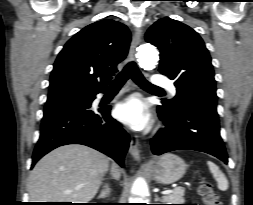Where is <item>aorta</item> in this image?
I'll return each mask as SVG.
<instances>
[{
  "label": "aorta",
  "instance_id": "1",
  "mask_svg": "<svg viewBox=\"0 0 253 205\" xmlns=\"http://www.w3.org/2000/svg\"><path fill=\"white\" fill-rule=\"evenodd\" d=\"M158 51L156 47L150 43H146L139 48L140 66L145 70H151L156 67L158 62ZM130 203L141 204L146 203L145 195L136 194L130 198Z\"/></svg>",
  "mask_w": 253,
  "mask_h": 205
}]
</instances>
